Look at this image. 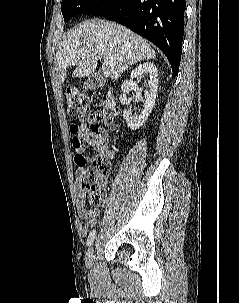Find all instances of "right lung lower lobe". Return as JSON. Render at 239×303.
<instances>
[{
  "label": "right lung lower lobe",
  "instance_id": "right-lung-lower-lobe-1",
  "mask_svg": "<svg viewBox=\"0 0 239 303\" xmlns=\"http://www.w3.org/2000/svg\"><path fill=\"white\" fill-rule=\"evenodd\" d=\"M185 0H106L89 14L116 21L155 44L176 76L184 34Z\"/></svg>",
  "mask_w": 239,
  "mask_h": 303
}]
</instances>
